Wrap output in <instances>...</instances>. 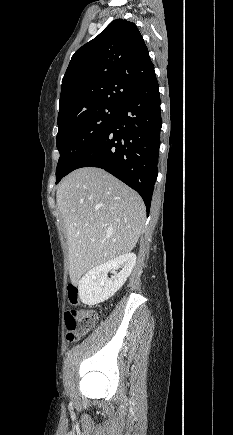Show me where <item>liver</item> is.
<instances>
[{"instance_id": "liver-1", "label": "liver", "mask_w": 233, "mask_h": 435, "mask_svg": "<svg viewBox=\"0 0 233 435\" xmlns=\"http://www.w3.org/2000/svg\"><path fill=\"white\" fill-rule=\"evenodd\" d=\"M56 201L68 242L71 282L92 268L130 252L145 223L137 192L100 168H80L64 178Z\"/></svg>"}]
</instances>
